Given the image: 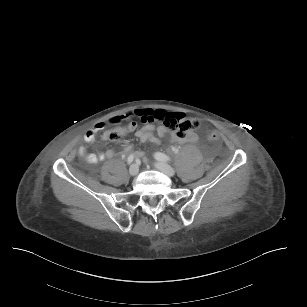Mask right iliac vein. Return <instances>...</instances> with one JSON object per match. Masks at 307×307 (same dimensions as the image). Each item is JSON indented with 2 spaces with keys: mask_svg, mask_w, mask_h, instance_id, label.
Returning a JSON list of instances; mask_svg holds the SVG:
<instances>
[{
  "mask_svg": "<svg viewBox=\"0 0 307 307\" xmlns=\"http://www.w3.org/2000/svg\"><path fill=\"white\" fill-rule=\"evenodd\" d=\"M139 172V167L137 164H132L129 168V174L131 176H136Z\"/></svg>",
  "mask_w": 307,
  "mask_h": 307,
  "instance_id": "obj_1",
  "label": "right iliac vein"
}]
</instances>
